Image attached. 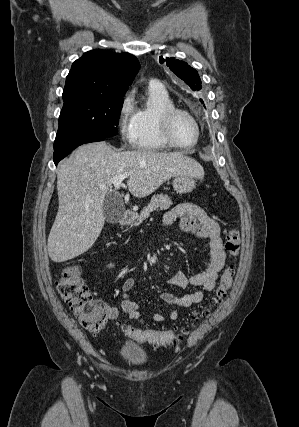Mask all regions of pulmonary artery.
<instances>
[{"label":"pulmonary artery","mask_w":299,"mask_h":427,"mask_svg":"<svg viewBox=\"0 0 299 427\" xmlns=\"http://www.w3.org/2000/svg\"><path fill=\"white\" fill-rule=\"evenodd\" d=\"M150 85L159 89H165L164 85L158 80L151 81Z\"/></svg>","instance_id":"e3ab8cb5"}]
</instances>
